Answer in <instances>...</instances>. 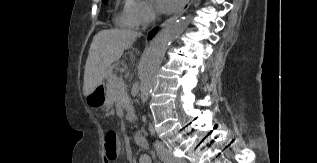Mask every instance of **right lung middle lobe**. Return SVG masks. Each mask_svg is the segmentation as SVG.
I'll return each mask as SVG.
<instances>
[{"mask_svg": "<svg viewBox=\"0 0 317 163\" xmlns=\"http://www.w3.org/2000/svg\"><path fill=\"white\" fill-rule=\"evenodd\" d=\"M103 2L106 4L108 2V0H103Z\"/></svg>", "mask_w": 317, "mask_h": 163, "instance_id": "1", "label": "right lung middle lobe"}]
</instances>
